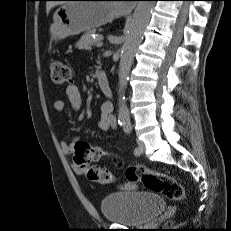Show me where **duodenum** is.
I'll return each mask as SVG.
<instances>
[{"instance_id": "obj_1", "label": "duodenum", "mask_w": 231, "mask_h": 231, "mask_svg": "<svg viewBox=\"0 0 231 231\" xmlns=\"http://www.w3.org/2000/svg\"><path fill=\"white\" fill-rule=\"evenodd\" d=\"M96 78H97V82H98V85H99L101 91L108 98H112L113 97V91H112L109 80H108L107 76L105 75V73H103L102 71H97L96 72Z\"/></svg>"}]
</instances>
